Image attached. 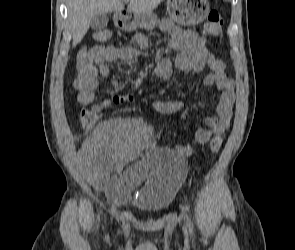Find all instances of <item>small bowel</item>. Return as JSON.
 <instances>
[{
	"label": "small bowel",
	"mask_w": 295,
	"mask_h": 250,
	"mask_svg": "<svg viewBox=\"0 0 295 250\" xmlns=\"http://www.w3.org/2000/svg\"><path fill=\"white\" fill-rule=\"evenodd\" d=\"M160 30L170 34L168 48L176 52L174 59L163 57L158 60L154 73L162 80H168L174 68L183 72H205L203 83L214 86L219 92L216 115L205 119L207 128L197 129L195 140L207 144L214 140L222 143L223 134L228 129L235 102L234 81L225 74V64L206 47V40L196 31L183 30L167 20L160 23ZM140 49L146 48L142 36L135 37ZM140 50L129 46L95 45L89 49L87 61L77 62V76L74 88L77 100L85 106L101 109L110 103H124L132 100V94L116 95L103 103H97L95 92L100 78L109 76L107 63L119 60L132 61ZM184 107L181 101H159L154 108L161 114L171 115ZM151 127L140 118H119L102 123L84 142L82 148V169L85 176L101 186L117 200L127 199L129 193L142 184L147 177L145 160L139 153L154 146ZM182 155H189V146H179ZM133 163L120 175L114 174L124 162Z\"/></svg>",
	"instance_id": "small-bowel-1"
}]
</instances>
